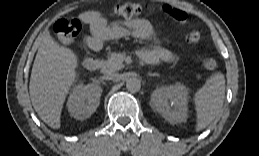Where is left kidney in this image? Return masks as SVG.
<instances>
[{
	"mask_svg": "<svg viewBox=\"0 0 259 156\" xmlns=\"http://www.w3.org/2000/svg\"><path fill=\"white\" fill-rule=\"evenodd\" d=\"M151 104L169 122H185L188 116V88L182 84L158 88L151 94Z\"/></svg>",
	"mask_w": 259,
	"mask_h": 156,
	"instance_id": "1",
	"label": "left kidney"
}]
</instances>
